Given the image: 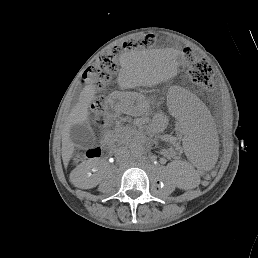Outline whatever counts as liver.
<instances>
[{
	"label": "liver",
	"mask_w": 258,
	"mask_h": 258,
	"mask_svg": "<svg viewBox=\"0 0 258 258\" xmlns=\"http://www.w3.org/2000/svg\"><path fill=\"white\" fill-rule=\"evenodd\" d=\"M122 73L118 79L119 85L122 87L131 85L137 76H157L163 75L162 70L149 62L130 63L126 59L122 63ZM95 87L93 85L87 86L80 94L79 102L73 108L68 124L64 130L62 137V160L67 165L73 155L75 144L70 139V127L74 124H83L89 115V105L95 97ZM79 169V168H77ZM72 183L79 188H89L90 181H76L74 178V171L70 174Z\"/></svg>",
	"instance_id": "1"
}]
</instances>
